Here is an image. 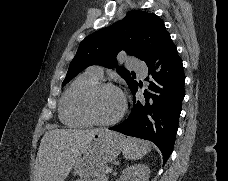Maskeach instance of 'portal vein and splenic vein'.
<instances>
[{
    "label": "portal vein and splenic vein",
    "instance_id": "obj_1",
    "mask_svg": "<svg viewBox=\"0 0 228 181\" xmlns=\"http://www.w3.org/2000/svg\"><path fill=\"white\" fill-rule=\"evenodd\" d=\"M114 169H115V168H114L113 166H112V167L109 166V167L107 168V173H108V174H113V172H114L113 170H114Z\"/></svg>",
    "mask_w": 228,
    "mask_h": 181
}]
</instances>
